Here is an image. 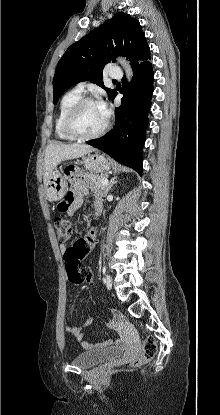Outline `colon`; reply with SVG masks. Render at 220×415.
Segmentation results:
<instances>
[{
    "instance_id": "5ec220e1",
    "label": "colon",
    "mask_w": 220,
    "mask_h": 415,
    "mask_svg": "<svg viewBox=\"0 0 220 415\" xmlns=\"http://www.w3.org/2000/svg\"><path fill=\"white\" fill-rule=\"evenodd\" d=\"M66 202L59 203V208L66 207ZM54 228L58 239L65 243L69 241L72 235L71 223L66 218H57L54 222ZM90 248L84 239L76 240L64 252V261L69 281L78 285L83 282H90L92 274L88 269L81 267V261L88 255ZM157 353V344L153 337H148L143 342L142 353L134 358L131 365L134 367L141 366L151 361Z\"/></svg>"
}]
</instances>
